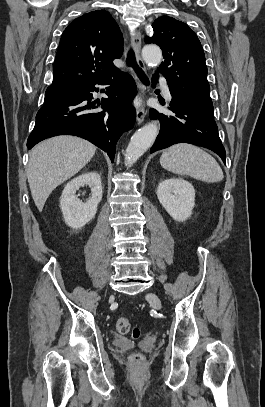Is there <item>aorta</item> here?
Returning <instances> with one entry per match:
<instances>
[{"label": "aorta", "instance_id": "obj_1", "mask_svg": "<svg viewBox=\"0 0 265 407\" xmlns=\"http://www.w3.org/2000/svg\"><path fill=\"white\" fill-rule=\"evenodd\" d=\"M142 56L147 64L157 65L161 62L162 52L156 46H145L142 50ZM157 134L158 126L155 122L148 123L136 131L126 148L125 164L130 166L135 163L153 144Z\"/></svg>", "mask_w": 265, "mask_h": 407}]
</instances>
